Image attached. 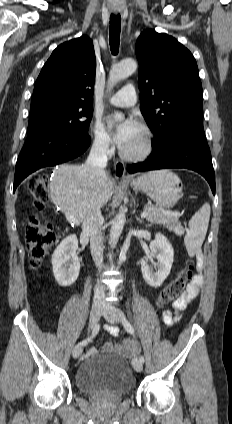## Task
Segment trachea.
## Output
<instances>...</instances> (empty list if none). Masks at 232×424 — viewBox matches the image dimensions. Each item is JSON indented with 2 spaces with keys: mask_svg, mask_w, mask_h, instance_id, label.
Instances as JSON below:
<instances>
[{
  "mask_svg": "<svg viewBox=\"0 0 232 424\" xmlns=\"http://www.w3.org/2000/svg\"><path fill=\"white\" fill-rule=\"evenodd\" d=\"M120 31H121V17L120 15L116 16L112 14L110 16L109 42H110V49L113 55H116L119 51Z\"/></svg>",
  "mask_w": 232,
  "mask_h": 424,
  "instance_id": "3493384b",
  "label": "trachea"
}]
</instances>
